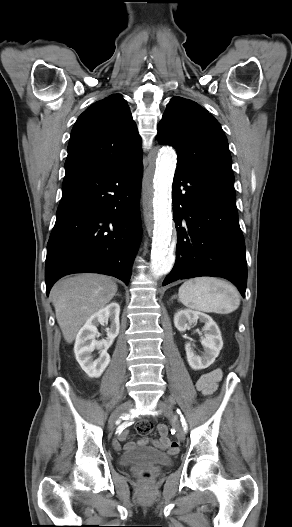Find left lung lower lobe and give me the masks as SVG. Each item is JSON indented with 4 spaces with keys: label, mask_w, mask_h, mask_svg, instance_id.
Masks as SVG:
<instances>
[{
    "label": "left lung lower lobe",
    "mask_w": 292,
    "mask_h": 527,
    "mask_svg": "<svg viewBox=\"0 0 292 527\" xmlns=\"http://www.w3.org/2000/svg\"><path fill=\"white\" fill-rule=\"evenodd\" d=\"M172 198L176 262L163 286L177 279L223 277L245 297L247 265L234 181L176 168Z\"/></svg>",
    "instance_id": "1"
}]
</instances>
